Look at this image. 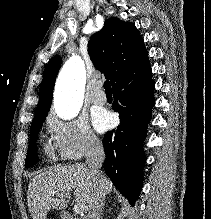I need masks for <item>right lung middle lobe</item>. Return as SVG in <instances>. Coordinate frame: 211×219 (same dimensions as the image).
I'll return each mask as SVG.
<instances>
[{
  "label": "right lung middle lobe",
  "mask_w": 211,
  "mask_h": 219,
  "mask_svg": "<svg viewBox=\"0 0 211 219\" xmlns=\"http://www.w3.org/2000/svg\"><path fill=\"white\" fill-rule=\"evenodd\" d=\"M46 116L47 114H41V115L35 116L32 121V126L30 130V144H29V148L27 151L26 161H25L26 168L33 166L38 161L36 139H37L39 130L41 129L43 122L46 119Z\"/></svg>",
  "instance_id": "dd1d6c3e"
}]
</instances>
